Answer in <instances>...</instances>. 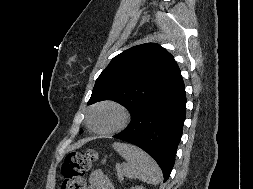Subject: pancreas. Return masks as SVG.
<instances>
[{
  "mask_svg": "<svg viewBox=\"0 0 253 189\" xmlns=\"http://www.w3.org/2000/svg\"><path fill=\"white\" fill-rule=\"evenodd\" d=\"M117 170V176H118V179L119 181L121 182L123 180V173L121 171V169H116Z\"/></svg>",
  "mask_w": 253,
  "mask_h": 189,
  "instance_id": "pancreas-1",
  "label": "pancreas"
}]
</instances>
